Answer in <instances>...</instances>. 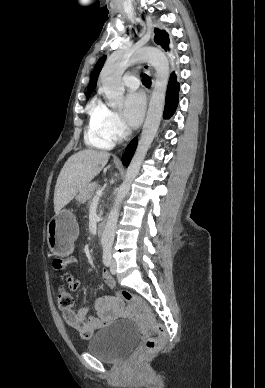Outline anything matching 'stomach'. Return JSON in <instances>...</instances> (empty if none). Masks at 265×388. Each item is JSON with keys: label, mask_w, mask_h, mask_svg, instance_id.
<instances>
[{"label": "stomach", "mask_w": 265, "mask_h": 388, "mask_svg": "<svg viewBox=\"0 0 265 388\" xmlns=\"http://www.w3.org/2000/svg\"><path fill=\"white\" fill-rule=\"evenodd\" d=\"M78 237V225L70 210H62L47 225V242L57 256L69 255Z\"/></svg>", "instance_id": "0dacf381"}]
</instances>
